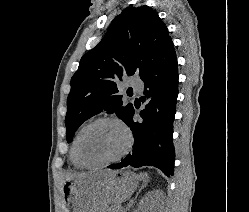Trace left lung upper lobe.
<instances>
[{
  "mask_svg": "<svg viewBox=\"0 0 249 212\" xmlns=\"http://www.w3.org/2000/svg\"><path fill=\"white\" fill-rule=\"evenodd\" d=\"M171 41L167 27L148 6L128 7L116 16L101 42L81 58L71 79L67 142L84 121L102 110L115 112L123 120L132 104L123 106L116 82L134 74L142 77Z\"/></svg>",
  "mask_w": 249,
  "mask_h": 212,
  "instance_id": "left-lung-upper-lobe-1",
  "label": "left lung upper lobe"
}]
</instances>
